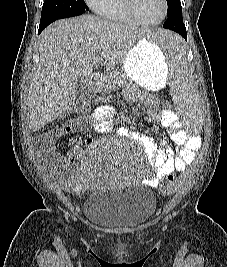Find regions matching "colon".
<instances>
[{
  "label": "colon",
  "mask_w": 227,
  "mask_h": 267,
  "mask_svg": "<svg viewBox=\"0 0 227 267\" xmlns=\"http://www.w3.org/2000/svg\"><path fill=\"white\" fill-rule=\"evenodd\" d=\"M160 109H174V104L172 100H163L160 104ZM89 110V101L87 99H79L74 104V113L78 116H84ZM74 119L69 118L67 123H71ZM163 178H165L164 191L166 193H171L173 191L174 178H178V173H163Z\"/></svg>",
  "instance_id": "colon-1"
}]
</instances>
